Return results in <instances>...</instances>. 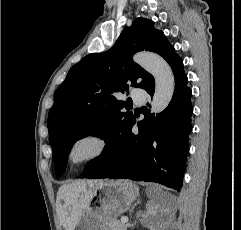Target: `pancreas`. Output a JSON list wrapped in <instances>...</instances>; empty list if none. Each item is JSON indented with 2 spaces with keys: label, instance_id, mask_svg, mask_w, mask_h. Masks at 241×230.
<instances>
[{
  "label": "pancreas",
  "instance_id": "obj_1",
  "mask_svg": "<svg viewBox=\"0 0 241 230\" xmlns=\"http://www.w3.org/2000/svg\"><path fill=\"white\" fill-rule=\"evenodd\" d=\"M110 230H126V224L122 223L121 221H113L110 224Z\"/></svg>",
  "mask_w": 241,
  "mask_h": 230
}]
</instances>
